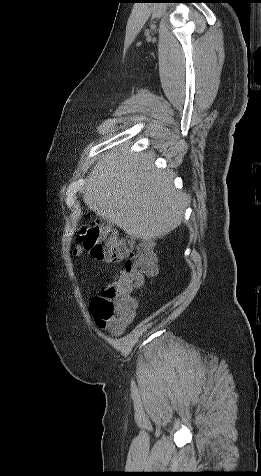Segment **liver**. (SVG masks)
I'll use <instances>...</instances> for the list:
<instances>
[{
    "label": "liver",
    "instance_id": "6515ba94",
    "mask_svg": "<svg viewBox=\"0 0 261 476\" xmlns=\"http://www.w3.org/2000/svg\"><path fill=\"white\" fill-rule=\"evenodd\" d=\"M127 150L121 146L97 162L83 201L131 237L161 238L181 224L188 198L173 187V172L155 169L154 153Z\"/></svg>",
    "mask_w": 261,
    "mask_h": 476
}]
</instances>
